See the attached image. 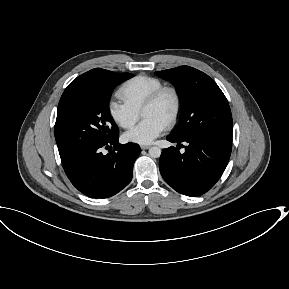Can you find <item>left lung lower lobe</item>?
<instances>
[{
  "label": "left lung lower lobe",
  "mask_w": 289,
  "mask_h": 289,
  "mask_svg": "<svg viewBox=\"0 0 289 289\" xmlns=\"http://www.w3.org/2000/svg\"><path fill=\"white\" fill-rule=\"evenodd\" d=\"M170 142H187L181 154L175 147L163 149L159 168L164 180L177 192L199 196L210 190L224 172L231 154V138L192 135Z\"/></svg>",
  "instance_id": "1"
}]
</instances>
